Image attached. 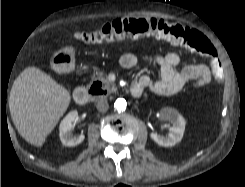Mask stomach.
I'll list each match as a JSON object with an SVG mask.
<instances>
[{"mask_svg": "<svg viewBox=\"0 0 245 187\" xmlns=\"http://www.w3.org/2000/svg\"><path fill=\"white\" fill-rule=\"evenodd\" d=\"M51 67L58 73L71 71L75 65V50L72 47H66L57 51L50 61Z\"/></svg>", "mask_w": 245, "mask_h": 187, "instance_id": "obj_1", "label": "stomach"}]
</instances>
